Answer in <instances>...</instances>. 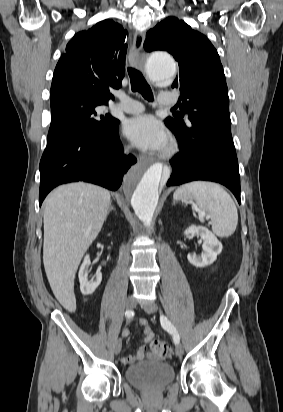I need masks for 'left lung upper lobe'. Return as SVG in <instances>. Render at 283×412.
Wrapping results in <instances>:
<instances>
[{
	"label": "left lung upper lobe",
	"mask_w": 283,
	"mask_h": 412,
	"mask_svg": "<svg viewBox=\"0 0 283 412\" xmlns=\"http://www.w3.org/2000/svg\"><path fill=\"white\" fill-rule=\"evenodd\" d=\"M144 49L168 51L178 61L179 75L172 87L180 90V110L188 121L168 117L166 126L172 131L196 133L213 154L237 158L225 75L207 37L184 21L169 17L147 32Z\"/></svg>",
	"instance_id": "1"
}]
</instances>
